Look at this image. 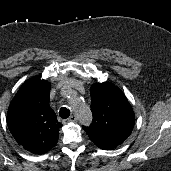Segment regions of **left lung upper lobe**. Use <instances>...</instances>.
I'll list each match as a JSON object with an SVG mask.
<instances>
[{"label":"left lung upper lobe","instance_id":"left-lung-upper-lobe-1","mask_svg":"<svg viewBox=\"0 0 171 171\" xmlns=\"http://www.w3.org/2000/svg\"><path fill=\"white\" fill-rule=\"evenodd\" d=\"M93 121L84 127L91 141L101 149L122 144L134 127V112L122 91L104 82L90 88Z\"/></svg>","mask_w":171,"mask_h":171}]
</instances>
